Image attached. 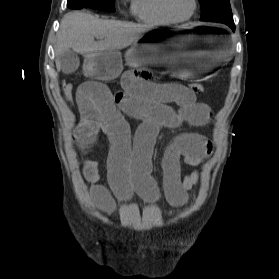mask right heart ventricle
<instances>
[{
	"label": "right heart ventricle",
	"mask_w": 279,
	"mask_h": 279,
	"mask_svg": "<svg viewBox=\"0 0 279 279\" xmlns=\"http://www.w3.org/2000/svg\"><path fill=\"white\" fill-rule=\"evenodd\" d=\"M131 9L136 19L152 26H169L174 22L163 13L160 0H132Z\"/></svg>",
	"instance_id": "obj_1"
}]
</instances>
